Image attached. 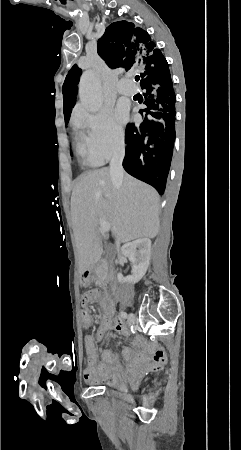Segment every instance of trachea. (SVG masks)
<instances>
[{
    "mask_svg": "<svg viewBox=\"0 0 241 450\" xmlns=\"http://www.w3.org/2000/svg\"><path fill=\"white\" fill-rule=\"evenodd\" d=\"M139 79H140V77L138 75H136L135 80L138 82Z\"/></svg>",
    "mask_w": 241,
    "mask_h": 450,
    "instance_id": "trachea-1",
    "label": "trachea"
}]
</instances>
